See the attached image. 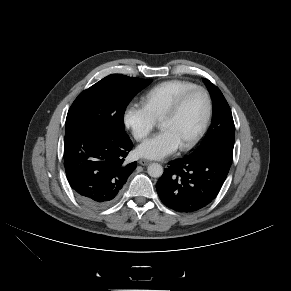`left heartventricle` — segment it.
Here are the masks:
<instances>
[{
    "label": "left heart ventricle",
    "instance_id": "obj_1",
    "mask_svg": "<svg viewBox=\"0 0 291 291\" xmlns=\"http://www.w3.org/2000/svg\"><path fill=\"white\" fill-rule=\"evenodd\" d=\"M206 112V99L201 92L193 93L172 118L160 122L161 130L171 131L180 146L187 143L198 131Z\"/></svg>",
    "mask_w": 291,
    "mask_h": 291
}]
</instances>
